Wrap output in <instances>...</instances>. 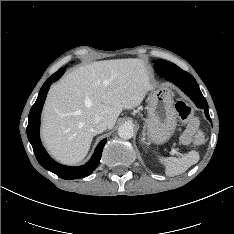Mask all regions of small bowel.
I'll return each instance as SVG.
<instances>
[{
	"label": "small bowel",
	"instance_id": "obj_1",
	"mask_svg": "<svg viewBox=\"0 0 234 234\" xmlns=\"http://www.w3.org/2000/svg\"><path fill=\"white\" fill-rule=\"evenodd\" d=\"M193 132L194 131L192 129H190V128H187L185 130V132L182 135V141H183V143H185V144L189 143Z\"/></svg>",
	"mask_w": 234,
	"mask_h": 234
}]
</instances>
